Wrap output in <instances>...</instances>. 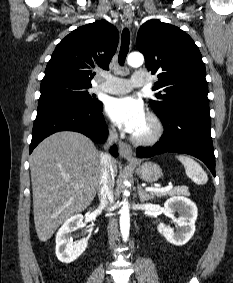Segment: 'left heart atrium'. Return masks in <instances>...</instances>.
Returning <instances> with one entry per match:
<instances>
[{"label":"left heart atrium","mask_w":233,"mask_h":283,"mask_svg":"<svg viewBox=\"0 0 233 283\" xmlns=\"http://www.w3.org/2000/svg\"><path fill=\"white\" fill-rule=\"evenodd\" d=\"M106 113L118 127L132 134L146 117L142 102L134 96L111 98L106 104Z\"/></svg>","instance_id":"left-heart-atrium-1"}]
</instances>
